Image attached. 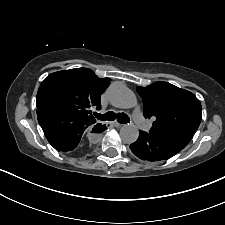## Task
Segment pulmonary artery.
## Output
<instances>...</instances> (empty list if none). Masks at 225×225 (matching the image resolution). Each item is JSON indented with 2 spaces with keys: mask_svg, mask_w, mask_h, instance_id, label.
Returning <instances> with one entry per match:
<instances>
[{
  "mask_svg": "<svg viewBox=\"0 0 225 225\" xmlns=\"http://www.w3.org/2000/svg\"><path fill=\"white\" fill-rule=\"evenodd\" d=\"M133 119L135 122L144 130L148 131L150 129L149 123L146 121V119L143 117L141 111L139 109H135L133 111Z\"/></svg>",
  "mask_w": 225,
  "mask_h": 225,
  "instance_id": "pulmonary-artery-1",
  "label": "pulmonary artery"
}]
</instances>
